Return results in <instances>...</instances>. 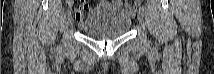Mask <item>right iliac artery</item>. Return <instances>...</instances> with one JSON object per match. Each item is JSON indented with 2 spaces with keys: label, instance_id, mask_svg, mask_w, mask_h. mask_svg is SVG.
Returning a JSON list of instances; mask_svg holds the SVG:
<instances>
[{
  "label": "right iliac artery",
  "instance_id": "82829eb1",
  "mask_svg": "<svg viewBox=\"0 0 214 74\" xmlns=\"http://www.w3.org/2000/svg\"><path fill=\"white\" fill-rule=\"evenodd\" d=\"M68 4L70 5L71 3H68ZM66 13L69 14V13H70V10L68 9V10L66 11Z\"/></svg>",
  "mask_w": 214,
  "mask_h": 74
}]
</instances>
